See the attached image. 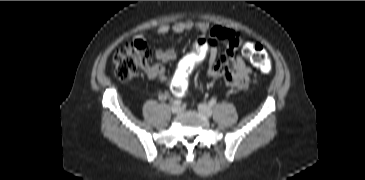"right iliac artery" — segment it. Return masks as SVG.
<instances>
[{"label": "right iliac artery", "instance_id": "right-iliac-artery-1", "mask_svg": "<svg viewBox=\"0 0 365 180\" xmlns=\"http://www.w3.org/2000/svg\"><path fill=\"white\" fill-rule=\"evenodd\" d=\"M181 103H182V101L180 99H177V100H174L173 101V104L174 105H178L179 106Z\"/></svg>", "mask_w": 365, "mask_h": 180}]
</instances>
